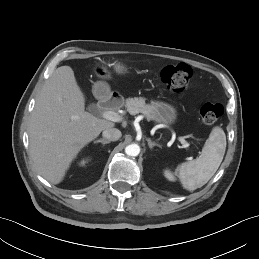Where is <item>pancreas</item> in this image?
Segmentation results:
<instances>
[{
  "label": "pancreas",
  "mask_w": 259,
  "mask_h": 259,
  "mask_svg": "<svg viewBox=\"0 0 259 259\" xmlns=\"http://www.w3.org/2000/svg\"><path fill=\"white\" fill-rule=\"evenodd\" d=\"M126 108L131 115L142 113L147 119H151L152 106L145 104L143 98L127 99Z\"/></svg>",
  "instance_id": "obj_1"
}]
</instances>
